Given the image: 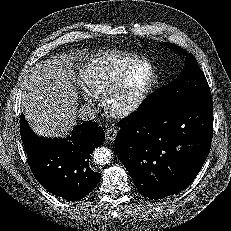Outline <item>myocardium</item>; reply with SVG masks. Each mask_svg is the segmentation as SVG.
<instances>
[{"instance_id":"1","label":"myocardium","mask_w":231,"mask_h":231,"mask_svg":"<svg viewBox=\"0 0 231 231\" xmlns=\"http://www.w3.org/2000/svg\"><path fill=\"white\" fill-rule=\"evenodd\" d=\"M148 66L150 69V79L147 85L130 101L117 103L116 99L124 89L127 80L141 66ZM157 82L155 66L148 59H139L128 67L118 78H116L103 92L102 104L107 114L112 117L122 118L137 111L152 93Z\"/></svg>"}]
</instances>
